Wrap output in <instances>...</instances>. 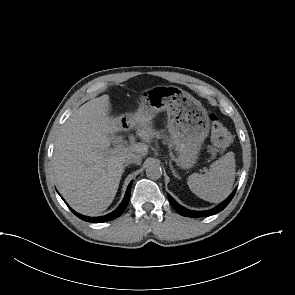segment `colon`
<instances>
[{"label": "colon", "instance_id": "1", "mask_svg": "<svg viewBox=\"0 0 295 295\" xmlns=\"http://www.w3.org/2000/svg\"><path fill=\"white\" fill-rule=\"evenodd\" d=\"M211 139L217 147H226L231 142V134L226 127L219 121L215 114L210 115Z\"/></svg>", "mask_w": 295, "mask_h": 295}]
</instances>
